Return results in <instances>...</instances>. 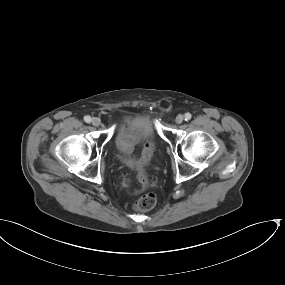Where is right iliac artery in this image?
<instances>
[{
	"label": "right iliac artery",
	"mask_w": 285,
	"mask_h": 285,
	"mask_svg": "<svg viewBox=\"0 0 285 285\" xmlns=\"http://www.w3.org/2000/svg\"><path fill=\"white\" fill-rule=\"evenodd\" d=\"M84 121L86 122V123H90L91 122V117L90 116H85L84 117Z\"/></svg>",
	"instance_id": "1"
}]
</instances>
